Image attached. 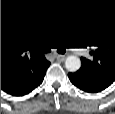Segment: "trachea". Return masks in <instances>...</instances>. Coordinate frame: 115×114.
Returning a JSON list of instances; mask_svg holds the SVG:
<instances>
[{
	"label": "trachea",
	"instance_id": "3493384b",
	"mask_svg": "<svg viewBox=\"0 0 115 114\" xmlns=\"http://www.w3.org/2000/svg\"><path fill=\"white\" fill-rule=\"evenodd\" d=\"M43 52H48V50H43ZM58 52L62 53V54L64 53V51H62V50H58Z\"/></svg>",
	"mask_w": 115,
	"mask_h": 114
}]
</instances>
